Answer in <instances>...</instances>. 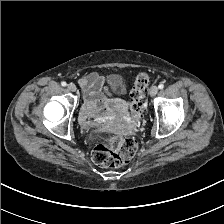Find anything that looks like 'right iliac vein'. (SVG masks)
Segmentation results:
<instances>
[{
	"mask_svg": "<svg viewBox=\"0 0 224 224\" xmlns=\"http://www.w3.org/2000/svg\"><path fill=\"white\" fill-rule=\"evenodd\" d=\"M67 88H68V90L71 91V92H75L76 89H77V88H76V85L73 84V83L68 84V85H67Z\"/></svg>",
	"mask_w": 224,
	"mask_h": 224,
	"instance_id": "1",
	"label": "right iliac vein"
}]
</instances>
